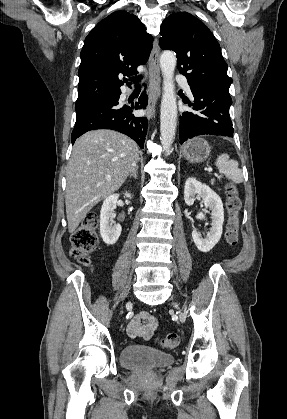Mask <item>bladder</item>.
Segmentation results:
<instances>
[{
	"label": "bladder",
	"instance_id": "bladder-1",
	"mask_svg": "<svg viewBox=\"0 0 287 419\" xmlns=\"http://www.w3.org/2000/svg\"><path fill=\"white\" fill-rule=\"evenodd\" d=\"M173 362L171 354L147 346H126L121 352V363L134 370H155Z\"/></svg>",
	"mask_w": 287,
	"mask_h": 419
}]
</instances>
